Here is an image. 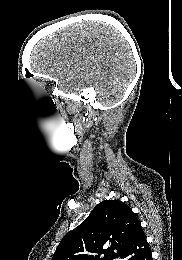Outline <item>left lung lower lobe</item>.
<instances>
[{
  "mask_svg": "<svg viewBox=\"0 0 182 260\" xmlns=\"http://www.w3.org/2000/svg\"><path fill=\"white\" fill-rule=\"evenodd\" d=\"M121 258L124 260H152L151 250L141 226L132 234Z\"/></svg>",
  "mask_w": 182,
  "mask_h": 260,
  "instance_id": "obj_1",
  "label": "left lung lower lobe"
}]
</instances>
